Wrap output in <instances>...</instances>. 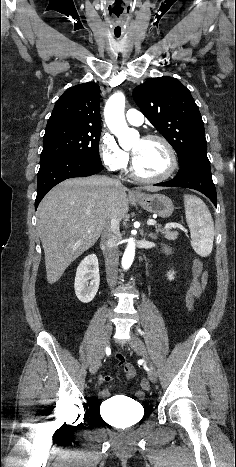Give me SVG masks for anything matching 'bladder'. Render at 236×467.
<instances>
[{
  "label": "bladder",
  "mask_w": 236,
  "mask_h": 467,
  "mask_svg": "<svg viewBox=\"0 0 236 467\" xmlns=\"http://www.w3.org/2000/svg\"><path fill=\"white\" fill-rule=\"evenodd\" d=\"M99 410L116 428L124 429L137 424L144 410L140 402L129 398L115 397L102 402Z\"/></svg>",
  "instance_id": "obj_1"
}]
</instances>
